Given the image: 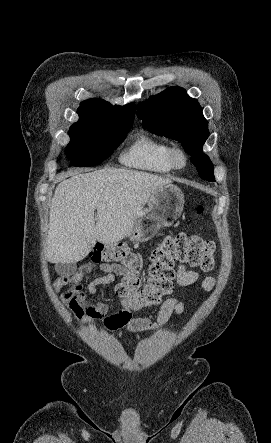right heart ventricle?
Returning a JSON list of instances; mask_svg holds the SVG:
<instances>
[{"label":"right heart ventricle","mask_w":271,"mask_h":443,"mask_svg":"<svg viewBox=\"0 0 271 443\" xmlns=\"http://www.w3.org/2000/svg\"><path fill=\"white\" fill-rule=\"evenodd\" d=\"M172 144L146 132H139L120 156L130 167L149 172L168 174L175 170L170 160Z\"/></svg>","instance_id":"e07e8e85"}]
</instances>
